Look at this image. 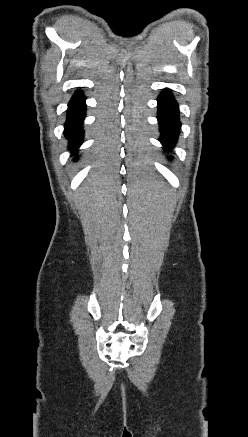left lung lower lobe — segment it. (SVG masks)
<instances>
[{
	"label": "left lung lower lobe",
	"instance_id": "obj_1",
	"mask_svg": "<svg viewBox=\"0 0 248 437\" xmlns=\"http://www.w3.org/2000/svg\"><path fill=\"white\" fill-rule=\"evenodd\" d=\"M158 122L161 131L160 141L165 149H171L180 132L178 104L170 90H164L158 97Z\"/></svg>",
	"mask_w": 248,
	"mask_h": 437
}]
</instances>
